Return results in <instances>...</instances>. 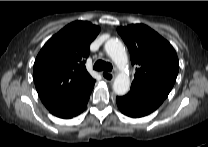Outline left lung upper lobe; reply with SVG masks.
<instances>
[{"label": "left lung upper lobe", "mask_w": 208, "mask_h": 147, "mask_svg": "<svg viewBox=\"0 0 208 147\" xmlns=\"http://www.w3.org/2000/svg\"><path fill=\"white\" fill-rule=\"evenodd\" d=\"M126 43L132 65H137L131 86L164 98L170 93L179 71V61L172 45L143 24L117 29Z\"/></svg>", "instance_id": "1"}]
</instances>
